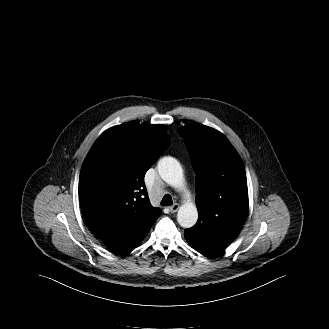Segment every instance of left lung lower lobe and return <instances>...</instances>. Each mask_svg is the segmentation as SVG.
Returning a JSON list of instances; mask_svg holds the SVG:
<instances>
[{
    "label": "left lung lower lobe",
    "mask_w": 329,
    "mask_h": 329,
    "mask_svg": "<svg viewBox=\"0 0 329 329\" xmlns=\"http://www.w3.org/2000/svg\"><path fill=\"white\" fill-rule=\"evenodd\" d=\"M238 229H226L220 233L215 239L205 241L195 238L189 230H185V238L187 242L197 251L205 256H213L225 249L239 234Z\"/></svg>",
    "instance_id": "0a47b994"
}]
</instances>
